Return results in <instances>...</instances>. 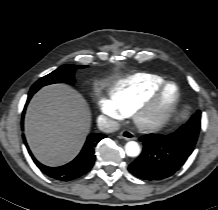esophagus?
Instances as JSON below:
<instances>
[{"mask_svg": "<svg viewBox=\"0 0 218 210\" xmlns=\"http://www.w3.org/2000/svg\"><path fill=\"white\" fill-rule=\"evenodd\" d=\"M119 138L124 139V140H133L135 139V135L133 132L129 130H123L120 132Z\"/></svg>", "mask_w": 218, "mask_h": 210, "instance_id": "obj_1", "label": "esophagus"}]
</instances>
